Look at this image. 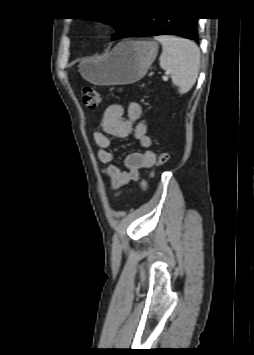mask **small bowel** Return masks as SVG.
I'll return each instance as SVG.
<instances>
[{"mask_svg":"<svg viewBox=\"0 0 254 355\" xmlns=\"http://www.w3.org/2000/svg\"><path fill=\"white\" fill-rule=\"evenodd\" d=\"M141 117L142 107L137 102L129 104L126 116L120 103L111 104L103 113L101 130L93 134L98 146L97 156L106 165L103 172L109 178L110 188L116 195L125 185L137 181L140 171L151 168L156 161V154L150 149L152 141L147 134V125ZM129 135L134 136L144 151L128 154L124 159L127 170H122L114 164L111 137L125 138Z\"/></svg>","mask_w":254,"mask_h":355,"instance_id":"c3829d8e","label":"small bowel"}]
</instances>
